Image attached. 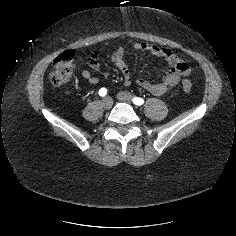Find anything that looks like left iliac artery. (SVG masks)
I'll return each mask as SVG.
<instances>
[{
	"label": "left iliac artery",
	"mask_w": 236,
	"mask_h": 236,
	"mask_svg": "<svg viewBox=\"0 0 236 236\" xmlns=\"http://www.w3.org/2000/svg\"><path fill=\"white\" fill-rule=\"evenodd\" d=\"M132 101L135 105H138V106L144 104V99L140 97H134Z\"/></svg>",
	"instance_id": "left-iliac-artery-1"
}]
</instances>
